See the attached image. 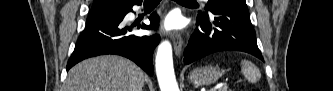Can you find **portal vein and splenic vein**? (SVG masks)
<instances>
[{
  "label": "portal vein and splenic vein",
  "instance_id": "18ae733b",
  "mask_svg": "<svg viewBox=\"0 0 333 91\" xmlns=\"http://www.w3.org/2000/svg\"><path fill=\"white\" fill-rule=\"evenodd\" d=\"M227 89V85L223 86H216L215 88L211 89L210 91H221Z\"/></svg>",
  "mask_w": 333,
  "mask_h": 91
}]
</instances>
